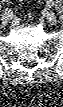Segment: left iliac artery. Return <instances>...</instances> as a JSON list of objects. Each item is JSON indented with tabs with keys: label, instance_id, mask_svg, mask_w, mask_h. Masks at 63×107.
<instances>
[{
	"label": "left iliac artery",
	"instance_id": "left-iliac-artery-1",
	"mask_svg": "<svg viewBox=\"0 0 63 107\" xmlns=\"http://www.w3.org/2000/svg\"><path fill=\"white\" fill-rule=\"evenodd\" d=\"M47 5L51 8L54 5V2L52 0H48Z\"/></svg>",
	"mask_w": 63,
	"mask_h": 107
}]
</instances>
